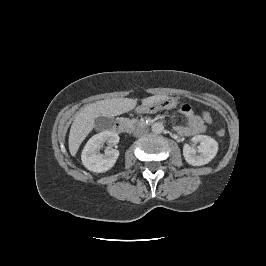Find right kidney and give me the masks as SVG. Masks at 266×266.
<instances>
[{
	"label": "right kidney",
	"instance_id": "1",
	"mask_svg": "<svg viewBox=\"0 0 266 266\" xmlns=\"http://www.w3.org/2000/svg\"><path fill=\"white\" fill-rule=\"evenodd\" d=\"M119 135L114 131H103L89 139L86 143L81 160L83 165L90 171L103 173L111 169L119 157L116 149H107L104 154L99 152L101 146L106 142L110 146L119 142Z\"/></svg>",
	"mask_w": 266,
	"mask_h": 266
}]
</instances>
